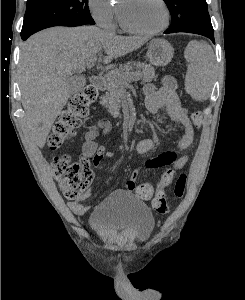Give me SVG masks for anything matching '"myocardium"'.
<instances>
[{
    "label": "myocardium",
    "instance_id": "obj_1",
    "mask_svg": "<svg viewBox=\"0 0 245 300\" xmlns=\"http://www.w3.org/2000/svg\"><path fill=\"white\" fill-rule=\"evenodd\" d=\"M159 3L161 4V6L163 7L164 13H165V21L163 23V25H161L160 27L156 28V29H152V30H144V29H140L137 28L135 26L130 25L126 20L125 17L123 15V12L120 8L119 10V22L121 27L131 33L134 34H139V35H146V36H152V35H156L161 33L162 31H164L165 29L168 28L169 24H170V19H171V14H170V9L166 3L165 0H158Z\"/></svg>",
    "mask_w": 245,
    "mask_h": 300
}]
</instances>
